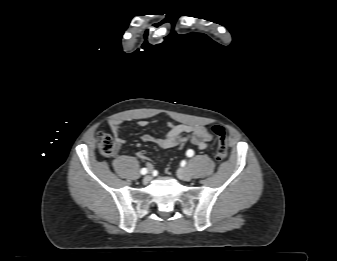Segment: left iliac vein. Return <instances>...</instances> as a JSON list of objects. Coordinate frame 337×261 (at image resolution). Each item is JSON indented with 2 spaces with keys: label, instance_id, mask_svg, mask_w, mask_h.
Wrapping results in <instances>:
<instances>
[{
  "label": "left iliac vein",
  "instance_id": "4c4485c4",
  "mask_svg": "<svg viewBox=\"0 0 337 261\" xmlns=\"http://www.w3.org/2000/svg\"><path fill=\"white\" fill-rule=\"evenodd\" d=\"M178 176H179L180 179H182L184 181H189L192 178V174L187 167L180 169L178 171Z\"/></svg>",
  "mask_w": 337,
  "mask_h": 261
}]
</instances>
